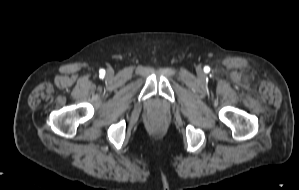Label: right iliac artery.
<instances>
[{
	"label": "right iliac artery",
	"instance_id": "obj_1",
	"mask_svg": "<svg viewBox=\"0 0 299 190\" xmlns=\"http://www.w3.org/2000/svg\"><path fill=\"white\" fill-rule=\"evenodd\" d=\"M100 73H101V75H104V74H105V71H104V70H101Z\"/></svg>",
	"mask_w": 299,
	"mask_h": 190
}]
</instances>
